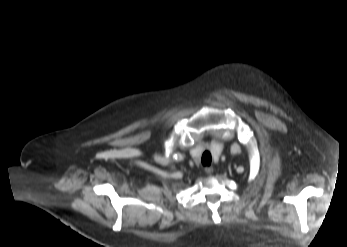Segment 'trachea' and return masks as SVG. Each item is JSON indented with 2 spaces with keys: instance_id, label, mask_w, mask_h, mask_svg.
Wrapping results in <instances>:
<instances>
[{
  "instance_id": "1",
  "label": "trachea",
  "mask_w": 347,
  "mask_h": 247,
  "mask_svg": "<svg viewBox=\"0 0 347 247\" xmlns=\"http://www.w3.org/2000/svg\"><path fill=\"white\" fill-rule=\"evenodd\" d=\"M202 163L203 165L209 166L211 164V155L208 151L204 152L202 155Z\"/></svg>"
}]
</instances>
